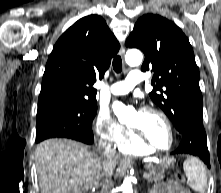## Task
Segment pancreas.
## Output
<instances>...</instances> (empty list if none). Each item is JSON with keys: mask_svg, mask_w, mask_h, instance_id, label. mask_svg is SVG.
I'll return each mask as SVG.
<instances>
[{"mask_svg": "<svg viewBox=\"0 0 221 193\" xmlns=\"http://www.w3.org/2000/svg\"><path fill=\"white\" fill-rule=\"evenodd\" d=\"M146 169L149 171V182H159L164 178L165 169L163 167L148 165Z\"/></svg>", "mask_w": 221, "mask_h": 193, "instance_id": "obj_1", "label": "pancreas"}]
</instances>
